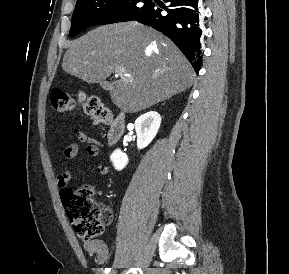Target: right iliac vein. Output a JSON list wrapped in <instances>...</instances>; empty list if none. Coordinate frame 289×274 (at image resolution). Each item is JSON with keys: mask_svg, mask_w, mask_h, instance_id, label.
<instances>
[{"mask_svg": "<svg viewBox=\"0 0 289 274\" xmlns=\"http://www.w3.org/2000/svg\"><path fill=\"white\" fill-rule=\"evenodd\" d=\"M116 270H112L110 274H116Z\"/></svg>", "mask_w": 289, "mask_h": 274, "instance_id": "right-iliac-vein-1", "label": "right iliac vein"}]
</instances>
